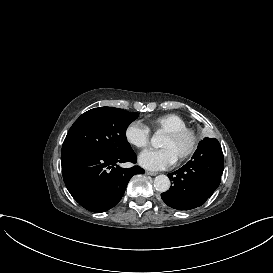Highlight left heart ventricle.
Listing matches in <instances>:
<instances>
[{
	"mask_svg": "<svg viewBox=\"0 0 273 273\" xmlns=\"http://www.w3.org/2000/svg\"><path fill=\"white\" fill-rule=\"evenodd\" d=\"M189 145V139L187 136L177 137V138H170L163 135L160 147L168 148L175 158L178 160L180 156L187 150Z\"/></svg>",
	"mask_w": 273,
	"mask_h": 273,
	"instance_id": "b2bd125f",
	"label": "left heart ventricle"
}]
</instances>
